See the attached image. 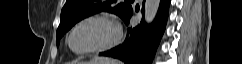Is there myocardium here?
<instances>
[{"label":"myocardium","mask_w":242,"mask_h":64,"mask_svg":"<svg viewBox=\"0 0 242 64\" xmlns=\"http://www.w3.org/2000/svg\"><path fill=\"white\" fill-rule=\"evenodd\" d=\"M94 21H100V22H105L109 24L113 28L112 37L100 45H97L88 49H84V50H75L72 46V38L74 33L84 24L89 22H94ZM122 36H123L122 27L115 18L105 14H92L80 19L77 23H75V25L71 28L69 32V35L67 37V43L69 48L75 54L86 55V54L104 52L114 48L121 42Z\"/></svg>","instance_id":"obj_1"}]
</instances>
